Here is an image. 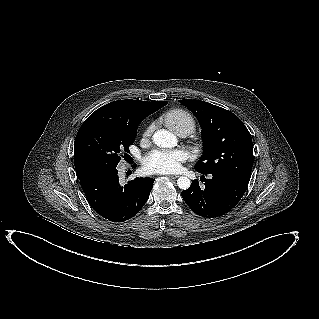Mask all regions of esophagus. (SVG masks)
<instances>
[{
  "label": "esophagus",
  "mask_w": 319,
  "mask_h": 319,
  "mask_svg": "<svg viewBox=\"0 0 319 319\" xmlns=\"http://www.w3.org/2000/svg\"><path fill=\"white\" fill-rule=\"evenodd\" d=\"M169 178H172V179H176L179 177V175H168Z\"/></svg>",
  "instance_id": "1"
}]
</instances>
